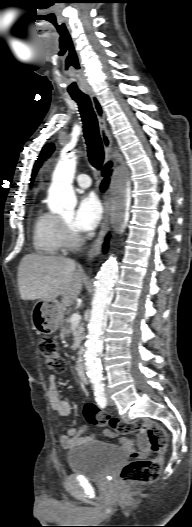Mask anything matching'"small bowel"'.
<instances>
[{
    "label": "small bowel",
    "instance_id": "1",
    "mask_svg": "<svg viewBox=\"0 0 192 527\" xmlns=\"http://www.w3.org/2000/svg\"><path fill=\"white\" fill-rule=\"evenodd\" d=\"M47 395L51 404V407L56 411L60 416L67 417L71 413V403L69 399L61 397L56 378L54 375L49 376L48 379V390ZM134 430L129 431L128 433ZM140 432V447L141 451L137 452L133 443L130 439L126 437H121L119 440L120 445L125 448L128 452L127 457L129 460L134 461L138 457L147 455L151 452V447L145 437V431L138 430ZM127 434V433H125ZM104 435L107 437H112L113 432L109 429L104 430ZM93 440V435L89 434L86 426L80 428H69L65 433L60 435V445L63 449L70 450L79 446H82Z\"/></svg>",
    "mask_w": 192,
    "mask_h": 527
}]
</instances>
